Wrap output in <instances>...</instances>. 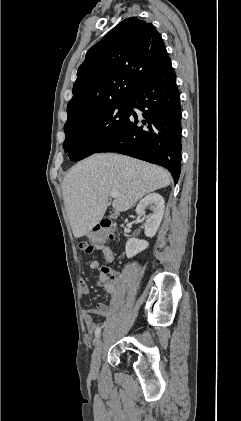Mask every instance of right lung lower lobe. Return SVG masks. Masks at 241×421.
<instances>
[{
  "label": "right lung lower lobe",
  "instance_id": "1",
  "mask_svg": "<svg viewBox=\"0 0 241 421\" xmlns=\"http://www.w3.org/2000/svg\"><path fill=\"white\" fill-rule=\"evenodd\" d=\"M124 127L96 153L117 152L167 168L177 183L181 171V106L169 56L129 98ZM132 108L143 112V120ZM139 122L143 126H138Z\"/></svg>",
  "mask_w": 241,
  "mask_h": 421
}]
</instances>
